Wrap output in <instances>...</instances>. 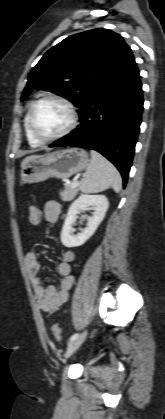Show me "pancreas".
<instances>
[{
    "instance_id": "1",
    "label": "pancreas",
    "mask_w": 165,
    "mask_h": 419,
    "mask_svg": "<svg viewBox=\"0 0 165 419\" xmlns=\"http://www.w3.org/2000/svg\"><path fill=\"white\" fill-rule=\"evenodd\" d=\"M78 186H73V184H65L64 189L60 192V197L63 201H71L78 194Z\"/></svg>"
}]
</instances>
